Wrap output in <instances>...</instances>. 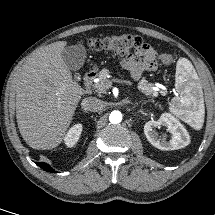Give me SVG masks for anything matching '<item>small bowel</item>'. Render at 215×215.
<instances>
[{"instance_id": "small-bowel-1", "label": "small bowel", "mask_w": 215, "mask_h": 215, "mask_svg": "<svg viewBox=\"0 0 215 215\" xmlns=\"http://www.w3.org/2000/svg\"><path fill=\"white\" fill-rule=\"evenodd\" d=\"M122 65L138 80L145 71L157 69L156 51L151 45L144 44L134 55L124 58Z\"/></svg>"}]
</instances>
